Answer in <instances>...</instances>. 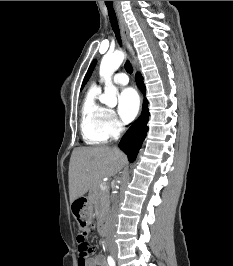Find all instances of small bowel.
<instances>
[{
	"instance_id": "c3829d8e",
	"label": "small bowel",
	"mask_w": 233,
	"mask_h": 266,
	"mask_svg": "<svg viewBox=\"0 0 233 266\" xmlns=\"http://www.w3.org/2000/svg\"><path fill=\"white\" fill-rule=\"evenodd\" d=\"M78 265L79 266H106V259L103 254H96L94 256H89L85 258L82 264H80V259H78Z\"/></svg>"
}]
</instances>
